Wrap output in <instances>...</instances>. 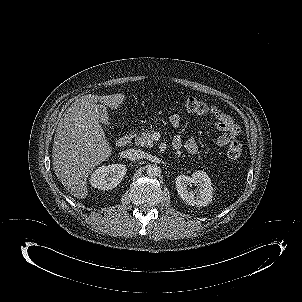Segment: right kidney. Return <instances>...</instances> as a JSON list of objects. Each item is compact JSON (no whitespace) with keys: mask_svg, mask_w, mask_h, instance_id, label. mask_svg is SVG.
<instances>
[{"mask_svg":"<svg viewBox=\"0 0 302 302\" xmlns=\"http://www.w3.org/2000/svg\"><path fill=\"white\" fill-rule=\"evenodd\" d=\"M126 170L127 169L125 167H121L122 172H120L116 180L114 179V181L108 184L106 177L109 173V170L104 167H100L91 175L92 186L101 190L112 189L113 187L118 185L122 178L125 176Z\"/></svg>","mask_w":302,"mask_h":302,"instance_id":"1","label":"right kidney"}]
</instances>
